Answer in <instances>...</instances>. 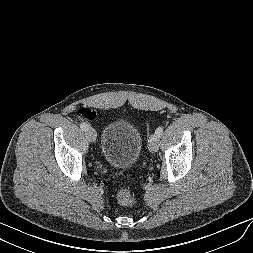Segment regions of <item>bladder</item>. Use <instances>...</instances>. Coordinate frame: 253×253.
I'll list each match as a JSON object with an SVG mask.
<instances>
[{"instance_id": "31cf9c89", "label": "bladder", "mask_w": 253, "mask_h": 253, "mask_svg": "<svg viewBox=\"0 0 253 253\" xmlns=\"http://www.w3.org/2000/svg\"><path fill=\"white\" fill-rule=\"evenodd\" d=\"M143 138L137 128L125 119L105 125L100 137V152L105 162L115 169H129L137 162Z\"/></svg>"}]
</instances>
